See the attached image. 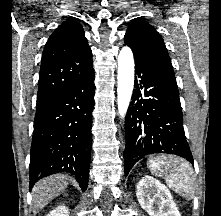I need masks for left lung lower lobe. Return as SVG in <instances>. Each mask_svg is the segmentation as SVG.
Returning <instances> with one entry per match:
<instances>
[{
  "label": "left lung lower lobe",
  "mask_w": 221,
  "mask_h": 216,
  "mask_svg": "<svg viewBox=\"0 0 221 216\" xmlns=\"http://www.w3.org/2000/svg\"><path fill=\"white\" fill-rule=\"evenodd\" d=\"M134 58L135 89L125 118V176L138 160L153 153L179 155L193 164L174 73L136 54Z\"/></svg>",
  "instance_id": "1"
}]
</instances>
